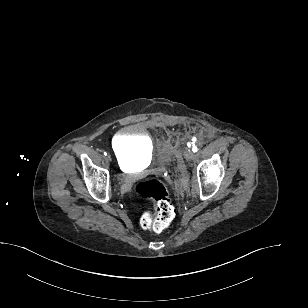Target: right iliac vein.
Wrapping results in <instances>:
<instances>
[{
    "mask_svg": "<svg viewBox=\"0 0 308 308\" xmlns=\"http://www.w3.org/2000/svg\"><path fill=\"white\" fill-rule=\"evenodd\" d=\"M106 158L108 159V160H110L111 161V155L110 154H108L107 156H106Z\"/></svg>",
    "mask_w": 308,
    "mask_h": 308,
    "instance_id": "63e3f726",
    "label": "right iliac vein"
}]
</instances>
